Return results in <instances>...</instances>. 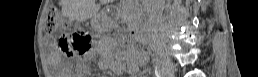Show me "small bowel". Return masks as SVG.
Segmentation results:
<instances>
[{"label": "small bowel", "mask_w": 258, "mask_h": 77, "mask_svg": "<svg viewBox=\"0 0 258 77\" xmlns=\"http://www.w3.org/2000/svg\"><path fill=\"white\" fill-rule=\"evenodd\" d=\"M125 57V61L120 64V67L125 72H135L140 66L147 63L148 55L143 52L139 53H122ZM54 56L57 54L54 53Z\"/></svg>", "instance_id": "c3829d8e"}]
</instances>
